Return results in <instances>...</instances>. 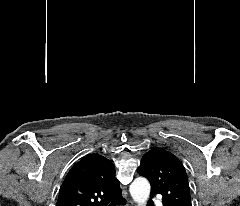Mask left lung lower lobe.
Returning <instances> with one entry per match:
<instances>
[{
	"instance_id": "left-lung-lower-lobe-1",
	"label": "left lung lower lobe",
	"mask_w": 240,
	"mask_h": 206,
	"mask_svg": "<svg viewBox=\"0 0 240 206\" xmlns=\"http://www.w3.org/2000/svg\"><path fill=\"white\" fill-rule=\"evenodd\" d=\"M149 206H153V203H152V202H150Z\"/></svg>"
}]
</instances>
